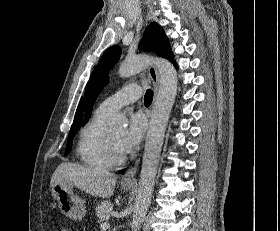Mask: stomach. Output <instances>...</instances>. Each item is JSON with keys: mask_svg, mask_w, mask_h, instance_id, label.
I'll list each match as a JSON object with an SVG mask.
<instances>
[{"mask_svg": "<svg viewBox=\"0 0 280 231\" xmlns=\"http://www.w3.org/2000/svg\"><path fill=\"white\" fill-rule=\"evenodd\" d=\"M123 189L128 191V189H131V185L123 183ZM51 193L57 199L58 207L64 215H67L70 219H83L86 213V205L81 197L75 195L71 183L55 181L51 187Z\"/></svg>", "mask_w": 280, "mask_h": 231, "instance_id": "1", "label": "stomach"}]
</instances>
